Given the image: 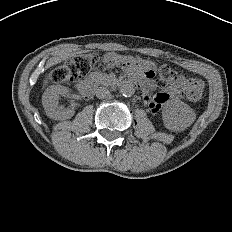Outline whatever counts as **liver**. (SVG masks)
<instances>
[{"label": "liver", "instance_id": "6515ba94", "mask_svg": "<svg viewBox=\"0 0 232 232\" xmlns=\"http://www.w3.org/2000/svg\"><path fill=\"white\" fill-rule=\"evenodd\" d=\"M48 83V80L46 79V80H44V85H46Z\"/></svg>", "mask_w": 232, "mask_h": 232}]
</instances>
